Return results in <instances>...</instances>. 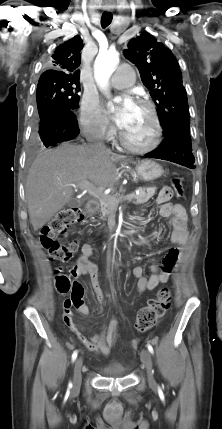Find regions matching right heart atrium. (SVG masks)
Masks as SVG:
<instances>
[{
	"label": "right heart atrium",
	"mask_w": 222,
	"mask_h": 429,
	"mask_svg": "<svg viewBox=\"0 0 222 429\" xmlns=\"http://www.w3.org/2000/svg\"><path fill=\"white\" fill-rule=\"evenodd\" d=\"M79 122L84 134L92 138H106L112 130L98 98L88 94H84L80 100Z\"/></svg>",
	"instance_id": "obj_1"
}]
</instances>
